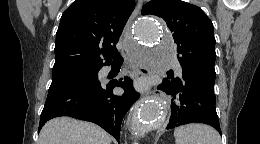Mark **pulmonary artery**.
I'll use <instances>...</instances> for the list:
<instances>
[{"label": "pulmonary artery", "instance_id": "1", "mask_svg": "<svg viewBox=\"0 0 260 144\" xmlns=\"http://www.w3.org/2000/svg\"><path fill=\"white\" fill-rule=\"evenodd\" d=\"M176 68H177V70H178V71H180V70H181V67H180V65H179V64H176Z\"/></svg>", "mask_w": 260, "mask_h": 144}]
</instances>
